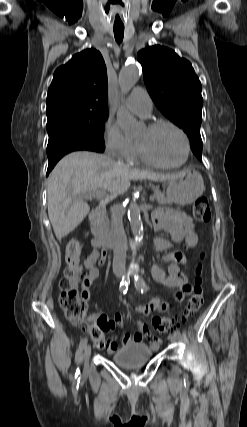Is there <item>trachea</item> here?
<instances>
[{
	"label": "trachea",
	"mask_w": 247,
	"mask_h": 427,
	"mask_svg": "<svg viewBox=\"0 0 247 427\" xmlns=\"http://www.w3.org/2000/svg\"><path fill=\"white\" fill-rule=\"evenodd\" d=\"M114 36H115V39L118 43L122 42L123 37H124V26L123 25H120V26L115 25L114 26Z\"/></svg>",
	"instance_id": "3493384b"
}]
</instances>
